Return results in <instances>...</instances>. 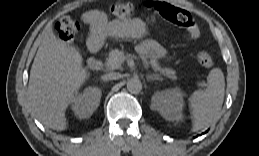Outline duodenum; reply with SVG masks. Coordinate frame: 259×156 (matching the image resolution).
I'll return each mask as SVG.
<instances>
[{
	"label": "duodenum",
	"instance_id": "duodenum-1",
	"mask_svg": "<svg viewBox=\"0 0 259 156\" xmlns=\"http://www.w3.org/2000/svg\"><path fill=\"white\" fill-rule=\"evenodd\" d=\"M99 46H100L99 42L96 41V42L92 43L91 48L94 50H97L99 48ZM87 65L92 70H99L103 66L102 61L97 58L88 59Z\"/></svg>",
	"mask_w": 259,
	"mask_h": 156
}]
</instances>
